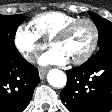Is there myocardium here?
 <instances>
[{"instance_id":"obj_1","label":"myocardium","mask_w":112,"mask_h":112,"mask_svg":"<svg viewBox=\"0 0 112 112\" xmlns=\"http://www.w3.org/2000/svg\"><path fill=\"white\" fill-rule=\"evenodd\" d=\"M81 23H87L90 25L92 29V41L86 52L81 57L71 60V63L74 65H80L88 61L97 48L99 42V28L92 19L85 17L74 20L73 22L63 27L57 34H55L50 42V45L53 46L54 42L64 40L68 37L71 31Z\"/></svg>"}]
</instances>
